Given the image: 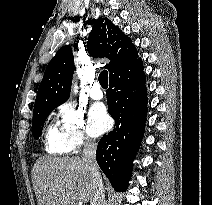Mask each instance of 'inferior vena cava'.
I'll list each match as a JSON object with an SVG mask.
<instances>
[{"instance_id":"inferior-vena-cava-1","label":"inferior vena cava","mask_w":212,"mask_h":205,"mask_svg":"<svg viewBox=\"0 0 212 205\" xmlns=\"http://www.w3.org/2000/svg\"><path fill=\"white\" fill-rule=\"evenodd\" d=\"M82 160L89 165L93 176L94 194L91 205H105V193L101 175L96 162L97 143L95 140L85 137Z\"/></svg>"}]
</instances>
